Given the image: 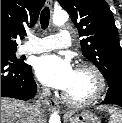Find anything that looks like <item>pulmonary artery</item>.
Instances as JSON below:
<instances>
[{
	"label": "pulmonary artery",
	"mask_w": 122,
	"mask_h": 123,
	"mask_svg": "<svg viewBox=\"0 0 122 123\" xmlns=\"http://www.w3.org/2000/svg\"><path fill=\"white\" fill-rule=\"evenodd\" d=\"M71 45V37L67 30H62L56 35L44 38L30 37L29 41L19 49L20 54H35L53 49L68 48Z\"/></svg>",
	"instance_id": "pulmonary-artery-1"
}]
</instances>
